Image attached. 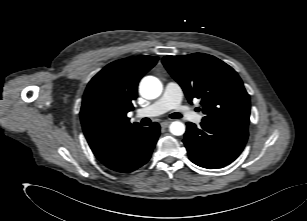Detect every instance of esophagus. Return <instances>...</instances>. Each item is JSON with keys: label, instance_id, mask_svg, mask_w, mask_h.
I'll return each instance as SVG.
<instances>
[{"label": "esophagus", "instance_id": "34e87169", "mask_svg": "<svg viewBox=\"0 0 307 221\" xmlns=\"http://www.w3.org/2000/svg\"><path fill=\"white\" fill-rule=\"evenodd\" d=\"M171 123V121L166 120L160 123L161 127L166 128L169 124Z\"/></svg>", "mask_w": 307, "mask_h": 221}]
</instances>
